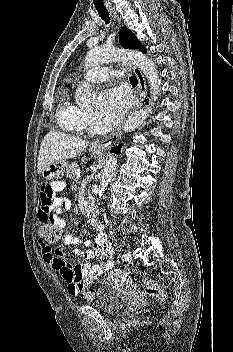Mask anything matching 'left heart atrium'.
I'll use <instances>...</instances> for the list:
<instances>
[{"label":"left heart atrium","instance_id":"left-heart-atrium-1","mask_svg":"<svg viewBox=\"0 0 233 352\" xmlns=\"http://www.w3.org/2000/svg\"><path fill=\"white\" fill-rule=\"evenodd\" d=\"M129 97L121 88L104 89L97 101L95 118L104 127L114 126L128 108Z\"/></svg>","mask_w":233,"mask_h":352}]
</instances>
